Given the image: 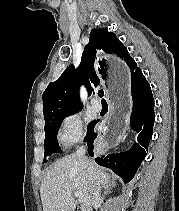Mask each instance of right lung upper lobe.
Segmentation results:
<instances>
[{"mask_svg": "<svg viewBox=\"0 0 179 211\" xmlns=\"http://www.w3.org/2000/svg\"><path fill=\"white\" fill-rule=\"evenodd\" d=\"M110 54L123 59L131 69V75L139 69L114 33L108 32L107 28L93 29L78 69L76 70L73 65L69 66L44 91L42 99L45 123L56 116L76 112L82 108L79 99L80 85L84 84L90 95L91 85L96 87L100 81L108 79V55Z\"/></svg>", "mask_w": 179, "mask_h": 211, "instance_id": "obj_1", "label": "right lung upper lobe"}]
</instances>
